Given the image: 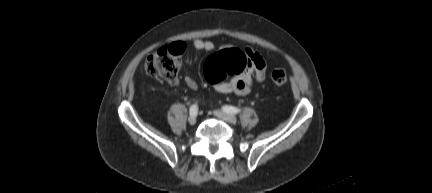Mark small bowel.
<instances>
[{
  "label": "small bowel",
  "mask_w": 432,
  "mask_h": 193,
  "mask_svg": "<svg viewBox=\"0 0 432 193\" xmlns=\"http://www.w3.org/2000/svg\"><path fill=\"white\" fill-rule=\"evenodd\" d=\"M225 46L223 49H227ZM193 49L197 52H211L215 49L212 41L195 39ZM222 49V50H223ZM249 59V67L240 75L234 76L230 81H221L215 84V89L221 94H235L237 96H246L251 91L253 80L262 82L266 78V63L263 57L251 49L244 51ZM185 83L188 88L196 89L198 84L196 79L188 74L185 77Z\"/></svg>",
  "instance_id": "c3829d8e"
}]
</instances>
